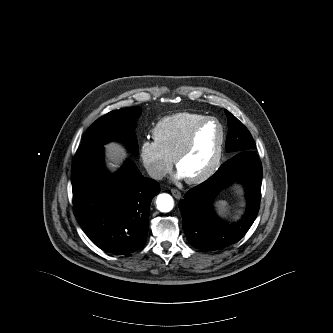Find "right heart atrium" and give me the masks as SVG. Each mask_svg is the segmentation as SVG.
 Here are the masks:
<instances>
[{"instance_id":"obj_1","label":"right heart atrium","mask_w":333,"mask_h":333,"mask_svg":"<svg viewBox=\"0 0 333 333\" xmlns=\"http://www.w3.org/2000/svg\"><path fill=\"white\" fill-rule=\"evenodd\" d=\"M140 158L147 173L156 180L164 178L171 170L173 162L154 141L145 140L140 145Z\"/></svg>"}]
</instances>
